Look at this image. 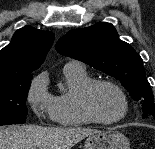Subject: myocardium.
Returning a JSON list of instances; mask_svg holds the SVG:
<instances>
[{
  "mask_svg": "<svg viewBox=\"0 0 155 149\" xmlns=\"http://www.w3.org/2000/svg\"><path fill=\"white\" fill-rule=\"evenodd\" d=\"M101 85H108V86L114 88L121 97V100L123 103V110H122L121 114L116 118H113L110 120L102 119L97 115V113L95 112V110L93 108V105H92L93 92L98 86H101ZM80 106H81V109H82L83 113L85 114V116L91 122L101 124V125L116 124V123L122 121L123 119H125V117L128 114V111H129V102H128V98H127L125 91L122 89V87L119 84H117L116 82L109 80V79H93L92 81L87 83L83 87V89L80 93Z\"/></svg>",
  "mask_w": 155,
  "mask_h": 149,
  "instance_id": "f54148a6",
  "label": "myocardium"
}]
</instances>
